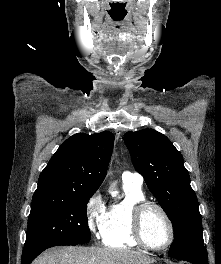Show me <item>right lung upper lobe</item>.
<instances>
[{
    "label": "right lung upper lobe",
    "mask_w": 221,
    "mask_h": 264,
    "mask_svg": "<svg viewBox=\"0 0 221 264\" xmlns=\"http://www.w3.org/2000/svg\"><path fill=\"white\" fill-rule=\"evenodd\" d=\"M113 144L108 131L71 136L41 172L35 193H95L106 176Z\"/></svg>",
    "instance_id": "obj_1"
}]
</instances>
